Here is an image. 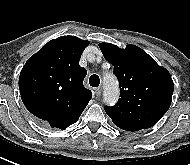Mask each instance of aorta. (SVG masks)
<instances>
[{
	"label": "aorta",
	"instance_id": "1",
	"mask_svg": "<svg viewBox=\"0 0 190 165\" xmlns=\"http://www.w3.org/2000/svg\"><path fill=\"white\" fill-rule=\"evenodd\" d=\"M118 83L112 77H107L105 79V91H104V101L107 104H114L118 99Z\"/></svg>",
	"mask_w": 190,
	"mask_h": 165
}]
</instances>
